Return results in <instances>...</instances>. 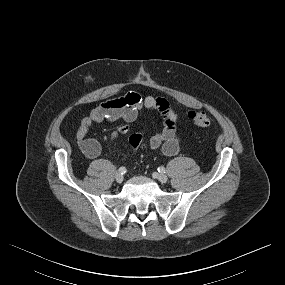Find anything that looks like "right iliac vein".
Masks as SVG:
<instances>
[{"mask_svg":"<svg viewBox=\"0 0 285 285\" xmlns=\"http://www.w3.org/2000/svg\"><path fill=\"white\" fill-rule=\"evenodd\" d=\"M115 179H116V182L117 183H122L123 180H124V176L120 173H117L116 176H115Z\"/></svg>","mask_w":285,"mask_h":285,"instance_id":"right-iliac-vein-1","label":"right iliac vein"}]
</instances>
